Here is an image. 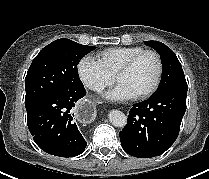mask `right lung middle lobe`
<instances>
[{"instance_id":"right-lung-middle-lobe-1","label":"right lung middle lobe","mask_w":209,"mask_h":179,"mask_svg":"<svg viewBox=\"0 0 209 179\" xmlns=\"http://www.w3.org/2000/svg\"><path fill=\"white\" fill-rule=\"evenodd\" d=\"M94 49L69 39H58L44 47L33 59L25 78L26 110L53 94L82 89L77 65Z\"/></svg>"}]
</instances>
